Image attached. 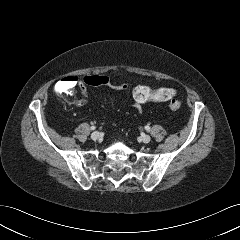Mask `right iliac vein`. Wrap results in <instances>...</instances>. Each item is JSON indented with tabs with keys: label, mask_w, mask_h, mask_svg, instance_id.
Masks as SVG:
<instances>
[{
	"label": "right iliac vein",
	"mask_w": 240,
	"mask_h": 240,
	"mask_svg": "<svg viewBox=\"0 0 240 240\" xmlns=\"http://www.w3.org/2000/svg\"><path fill=\"white\" fill-rule=\"evenodd\" d=\"M100 137H101V134H100L98 131H95V132H93V133L91 134V138H92V140H94V141L100 139Z\"/></svg>",
	"instance_id": "right-iliac-vein-1"
}]
</instances>
